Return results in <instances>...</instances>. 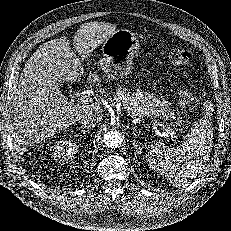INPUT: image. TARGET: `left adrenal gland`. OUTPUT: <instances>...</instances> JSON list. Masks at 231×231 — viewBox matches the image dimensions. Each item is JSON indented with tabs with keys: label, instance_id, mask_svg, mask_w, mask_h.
<instances>
[{
	"label": "left adrenal gland",
	"instance_id": "obj_1",
	"mask_svg": "<svg viewBox=\"0 0 231 231\" xmlns=\"http://www.w3.org/2000/svg\"><path fill=\"white\" fill-rule=\"evenodd\" d=\"M132 129H133V133H134V140H133V146H134V148L136 149V151H138V142L136 141V138H137V130H136V128L135 127H132Z\"/></svg>",
	"mask_w": 231,
	"mask_h": 231
}]
</instances>
